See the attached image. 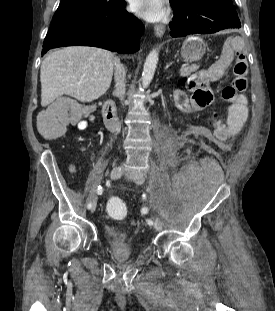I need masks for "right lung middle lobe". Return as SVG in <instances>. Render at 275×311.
Instances as JSON below:
<instances>
[{"instance_id":"obj_1","label":"right lung middle lobe","mask_w":275,"mask_h":311,"mask_svg":"<svg viewBox=\"0 0 275 311\" xmlns=\"http://www.w3.org/2000/svg\"><path fill=\"white\" fill-rule=\"evenodd\" d=\"M120 0H61L52 23L70 17L111 9Z\"/></svg>"}]
</instances>
